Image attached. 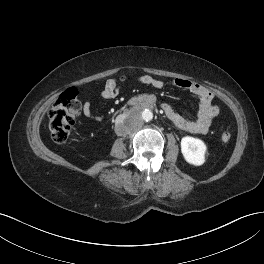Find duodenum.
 I'll use <instances>...</instances> for the list:
<instances>
[{
	"mask_svg": "<svg viewBox=\"0 0 264 264\" xmlns=\"http://www.w3.org/2000/svg\"><path fill=\"white\" fill-rule=\"evenodd\" d=\"M135 108L136 109H151L154 106V100L150 98L147 95H144L142 97H138L135 101ZM134 110H127L123 112L121 115L125 116V118H128L129 116L133 115Z\"/></svg>",
	"mask_w": 264,
	"mask_h": 264,
	"instance_id": "obj_1",
	"label": "duodenum"
}]
</instances>
